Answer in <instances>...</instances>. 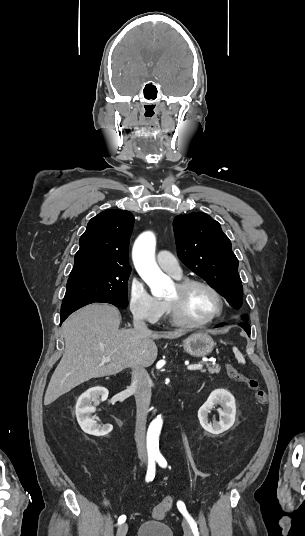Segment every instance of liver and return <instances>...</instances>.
Here are the masks:
<instances>
[{"mask_svg": "<svg viewBox=\"0 0 305 536\" xmlns=\"http://www.w3.org/2000/svg\"><path fill=\"white\" fill-rule=\"evenodd\" d=\"M119 310L109 304H90L72 314L62 330L65 340L63 358L46 390L44 406L55 402L91 378L115 376L125 368H148L154 364L158 350L157 338H180L185 332L142 334L139 330H119ZM102 358H111L107 366H99Z\"/></svg>", "mask_w": 305, "mask_h": 536, "instance_id": "6515ba94", "label": "liver"}]
</instances>
